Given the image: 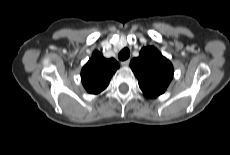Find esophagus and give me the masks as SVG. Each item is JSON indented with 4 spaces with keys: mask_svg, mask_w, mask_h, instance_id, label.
Here are the masks:
<instances>
[{
    "mask_svg": "<svg viewBox=\"0 0 230 155\" xmlns=\"http://www.w3.org/2000/svg\"><path fill=\"white\" fill-rule=\"evenodd\" d=\"M129 63H130L129 59L121 62L122 66H128Z\"/></svg>",
    "mask_w": 230,
    "mask_h": 155,
    "instance_id": "34e87169",
    "label": "esophagus"
}]
</instances>
